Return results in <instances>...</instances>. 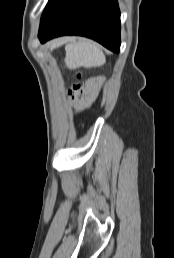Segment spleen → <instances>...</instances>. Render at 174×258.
Segmentation results:
<instances>
[{
    "label": "spleen",
    "mask_w": 174,
    "mask_h": 258,
    "mask_svg": "<svg viewBox=\"0 0 174 258\" xmlns=\"http://www.w3.org/2000/svg\"><path fill=\"white\" fill-rule=\"evenodd\" d=\"M65 63L70 68L96 67L105 63L106 58L99 45L90 40L72 41L66 45Z\"/></svg>",
    "instance_id": "1"
}]
</instances>
